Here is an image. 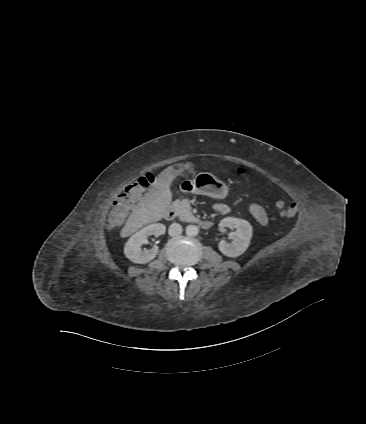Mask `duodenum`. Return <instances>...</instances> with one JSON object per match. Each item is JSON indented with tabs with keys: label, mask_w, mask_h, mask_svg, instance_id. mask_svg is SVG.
Listing matches in <instances>:
<instances>
[{
	"label": "duodenum",
	"mask_w": 366,
	"mask_h": 424,
	"mask_svg": "<svg viewBox=\"0 0 366 424\" xmlns=\"http://www.w3.org/2000/svg\"><path fill=\"white\" fill-rule=\"evenodd\" d=\"M175 209L173 206H169L165 211V218L166 219H173L175 217ZM199 225L201 228L207 230L212 227V222L208 220H202L199 222Z\"/></svg>",
	"instance_id": "1"
}]
</instances>
